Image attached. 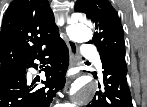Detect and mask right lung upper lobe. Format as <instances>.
<instances>
[{
    "mask_svg": "<svg viewBox=\"0 0 147 107\" xmlns=\"http://www.w3.org/2000/svg\"><path fill=\"white\" fill-rule=\"evenodd\" d=\"M58 36L48 0H13L0 33L1 69L23 65Z\"/></svg>",
    "mask_w": 147,
    "mask_h": 107,
    "instance_id": "obj_1",
    "label": "right lung upper lobe"
}]
</instances>
